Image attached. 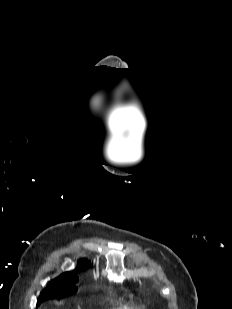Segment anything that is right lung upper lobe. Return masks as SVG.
<instances>
[{
    "label": "right lung upper lobe",
    "instance_id": "right-lung-upper-lobe-1",
    "mask_svg": "<svg viewBox=\"0 0 232 309\" xmlns=\"http://www.w3.org/2000/svg\"><path fill=\"white\" fill-rule=\"evenodd\" d=\"M88 266H90V261L82 259L81 263L78 264L75 270L61 274L59 277L55 278L54 280H51L49 284L58 285L60 283H76L78 280V276L76 275V273L80 272L81 270H84ZM63 297L67 296L62 295L56 298H63Z\"/></svg>",
    "mask_w": 232,
    "mask_h": 309
}]
</instances>
